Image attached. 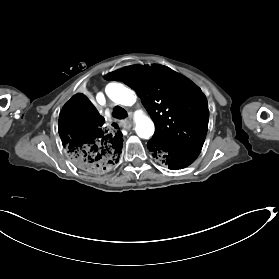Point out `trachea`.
<instances>
[{"mask_svg":"<svg viewBox=\"0 0 279 279\" xmlns=\"http://www.w3.org/2000/svg\"><path fill=\"white\" fill-rule=\"evenodd\" d=\"M128 116L127 111L120 106L113 109V117L117 119H124Z\"/></svg>","mask_w":279,"mask_h":279,"instance_id":"obj_1","label":"trachea"}]
</instances>
